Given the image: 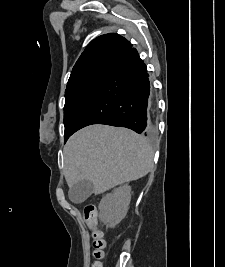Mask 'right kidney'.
Listing matches in <instances>:
<instances>
[{"label":"right kidney","mask_w":225,"mask_h":267,"mask_svg":"<svg viewBox=\"0 0 225 267\" xmlns=\"http://www.w3.org/2000/svg\"><path fill=\"white\" fill-rule=\"evenodd\" d=\"M131 200V187L123 185L106 194L99 204L100 219L110 227L116 226L127 214Z\"/></svg>","instance_id":"1"}]
</instances>
